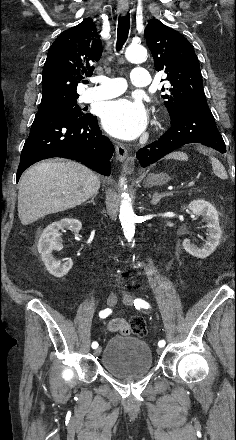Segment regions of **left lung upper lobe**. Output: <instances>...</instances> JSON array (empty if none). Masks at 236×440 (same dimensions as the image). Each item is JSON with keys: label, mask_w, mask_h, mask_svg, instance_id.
<instances>
[{"label": "left lung upper lobe", "mask_w": 236, "mask_h": 440, "mask_svg": "<svg viewBox=\"0 0 236 440\" xmlns=\"http://www.w3.org/2000/svg\"><path fill=\"white\" fill-rule=\"evenodd\" d=\"M144 34L155 69L164 71L171 85L170 93L162 98L172 121L188 104L206 101L199 61L189 41L157 19L146 26Z\"/></svg>", "instance_id": "1"}]
</instances>
